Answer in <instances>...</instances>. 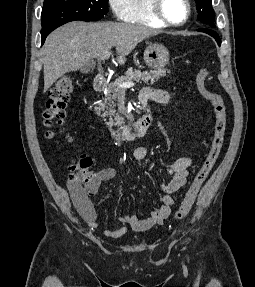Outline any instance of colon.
Returning a JSON list of instances; mask_svg holds the SVG:
<instances>
[{
  "mask_svg": "<svg viewBox=\"0 0 255 287\" xmlns=\"http://www.w3.org/2000/svg\"><path fill=\"white\" fill-rule=\"evenodd\" d=\"M207 77L208 70L206 68H201L197 72L196 83L201 95L213 106L215 114L214 132L205 160L197 171L190 187L181 201L179 208L175 212V218L178 220L186 217L191 210L202 185L214 168L224 144L226 107L220 95L213 93L206 88L205 84ZM72 91L73 79L67 75L59 78L54 87L50 90L49 97L46 102V108L43 113L44 124L48 128L46 133L47 138H54L58 132L64 133L63 127L66 117L65 109ZM65 138L68 141L71 140L68 135H66ZM91 165L92 160L89 157L85 155L79 156L70 168L69 179L72 181L82 180L84 182H89L92 179V175L89 172Z\"/></svg>",
  "mask_w": 255,
  "mask_h": 287,
  "instance_id": "1",
  "label": "colon"
}]
</instances>
